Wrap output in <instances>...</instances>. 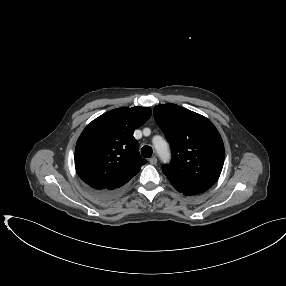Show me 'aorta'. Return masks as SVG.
Returning a JSON list of instances; mask_svg holds the SVG:
<instances>
[{
    "label": "aorta",
    "mask_w": 286,
    "mask_h": 286,
    "mask_svg": "<svg viewBox=\"0 0 286 286\" xmlns=\"http://www.w3.org/2000/svg\"><path fill=\"white\" fill-rule=\"evenodd\" d=\"M163 144H166L163 140L158 142V141H154V146H155V149L158 153V155L163 159V160H166L167 157H168V149L167 147L164 149L162 148V145Z\"/></svg>",
    "instance_id": "obj_1"
}]
</instances>
